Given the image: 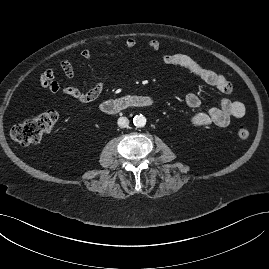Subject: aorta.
Segmentation results:
<instances>
[{
	"mask_svg": "<svg viewBox=\"0 0 269 269\" xmlns=\"http://www.w3.org/2000/svg\"><path fill=\"white\" fill-rule=\"evenodd\" d=\"M133 124L136 126V127H144L145 124H146V118L145 116L143 115H136L134 118H133Z\"/></svg>",
	"mask_w": 269,
	"mask_h": 269,
	"instance_id": "obj_1",
	"label": "aorta"
}]
</instances>
